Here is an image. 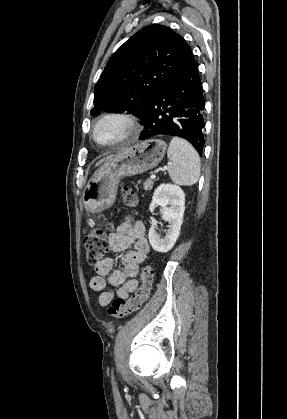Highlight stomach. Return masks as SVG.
Here are the masks:
<instances>
[{"instance_id":"stomach-1","label":"stomach","mask_w":287,"mask_h":419,"mask_svg":"<svg viewBox=\"0 0 287 419\" xmlns=\"http://www.w3.org/2000/svg\"><path fill=\"white\" fill-rule=\"evenodd\" d=\"M167 144L150 139L127 147L100 166L83 190V202L90 212H101L112 206L119 182L126 177L156 167L165 155Z\"/></svg>"}]
</instances>
